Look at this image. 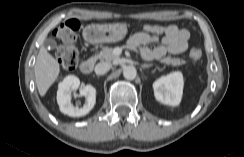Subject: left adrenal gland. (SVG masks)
<instances>
[{"label": "left adrenal gland", "mask_w": 244, "mask_h": 157, "mask_svg": "<svg viewBox=\"0 0 244 157\" xmlns=\"http://www.w3.org/2000/svg\"><path fill=\"white\" fill-rule=\"evenodd\" d=\"M151 66H153V64H142L141 68L145 69V68H149Z\"/></svg>", "instance_id": "a2214340"}]
</instances>
